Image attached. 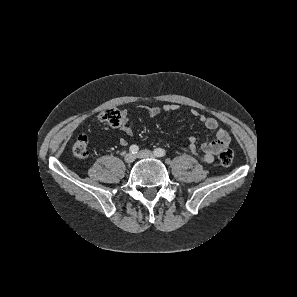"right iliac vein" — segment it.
Returning <instances> with one entry per match:
<instances>
[{
	"label": "right iliac vein",
	"instance_id": "obj_1",
	"mask_svg": "<svg viewBox=\"0 0 297 297\" xmlns=\"http://www.w3.org/2000/svg\"><path fill=\"white\" fill-rule=\"evenodd\" d=\"M124 160H125V162H127V163H132V162L135 160V155H133L132 153H127V154L124 156Z\"/></svg>",
	"mask_w": 297,
	"mask_h": 297
}]
</instances>
